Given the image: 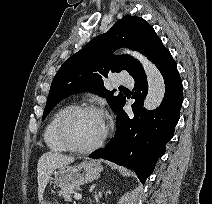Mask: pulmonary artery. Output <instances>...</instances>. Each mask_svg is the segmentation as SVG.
<instances>
[{
  "mask_svg": "<svg viewBox=\"0 0 212 204\" xmlns=\"http://www.w3.org/2000/svg\"><path fill=\"white\" fill-rule=\"evenodd\" d=\"M134 80L131 76L128 75H119L117 78V83L120 85H129L133 84Z\"/></svg>",
  "mask_w": 212,
  "mask_h": 204,
  "instance_id": "e3ab8cb5",
  "label": "pulmonary artery"
}]
</instances>
